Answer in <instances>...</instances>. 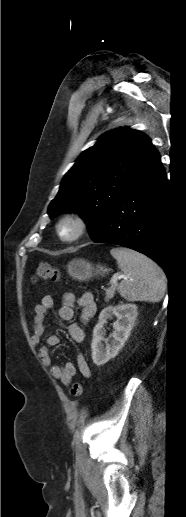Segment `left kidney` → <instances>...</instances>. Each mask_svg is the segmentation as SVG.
Listing matches in <instances>:
<instances>
[{
  "mask_svg": "<svg viewBox=\"0 0 186 517\" xmlns=\"http://www.w3.org/2000/svg\"><path fill=\"white\" fill-rule=\"evenodd\" d=\"M137 314V306L135 304L108 306L101 311L99 321L93 329L91 343L92 360L95 365H104L123 348L134 326ZM113 316H116L117 321L113 323L114 331L110 335L113 339L109 344V339L104 338L106 335L104 325L107 323V319ZM102 341H105V347Z\"/></svg>",
  "mask_w": 186,
  "mask_h": 517,
  "instance_id": "obj_1",
  "label": "left kidney"
}]
</instances>
